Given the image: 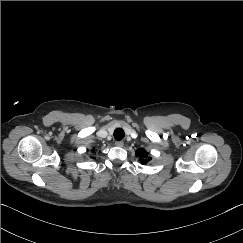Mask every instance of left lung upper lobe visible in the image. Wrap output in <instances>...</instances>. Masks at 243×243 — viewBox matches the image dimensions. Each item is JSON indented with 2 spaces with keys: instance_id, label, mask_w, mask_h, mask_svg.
<instances>
[{
  "instance_id": "obj_1",
  "label": "left lung upper lobe",
  "mask_w": 243,
  "mask_h": 243,
  "mask_svg": "<svg viewBox=\"0 0 243 243\" xmlns=\"http://www.w3.org/2000/svg\"><path fill=\"white\" fill-rule=\"evenodd\" d=\"M136 156L142 158L141 163L146 164L148 161L151 160L150 157H148V152L144 149H138L136 151Z\"/></svg>"
}]
</instances>
